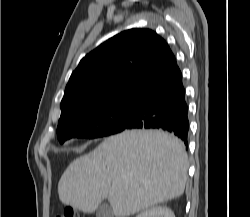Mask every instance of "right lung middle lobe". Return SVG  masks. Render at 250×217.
Wrapping results in <instances>:
<instances>
[{
  "label": "right lung middle lobe",
  "mask_w": 250,
  "mask_h": 217,
  "mask_svg": "<svg viewBox=\"0 0 250 217\" xmlns=\"http://www.w3.org/2000/svg\"><path fill=\"white\" fill-rule=\"evenodd\" d=\"M136 100L113 102L90 109L58 122L57 137L62 144L71 138H99L123 131L134 115Z\"/></svg>",
  "instance_id": "obj_1"
}]
</instances>
